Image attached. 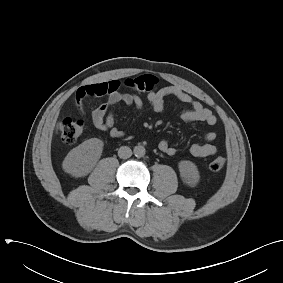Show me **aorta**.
Returning a JSON list of instances; mask_svg holds the SVG:
<instances>
[{
	"mask_svg": "<svg viewBox=\"0 0 283 283\" xmlns=\"http://www.w3.org/2000/svg\"><path fill=\"white\" fill-rule=\"evenodd\" d=\"M133 152H134V155H135L137 158H141V157H143V156L145 155L146 150H145L144 146L138 145V146H135V147H134Z\"/></svg>",
	"mask_w": 283,
	"mask_h": 283,
	"instance_id": "aorta-1",
	"label": "aorta"
}]
</instances>
